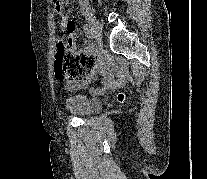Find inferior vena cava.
Instances as JSON below:
<instances>
[{
	"label": "inferior vena cava",
	"mask_w": 207,
	"mask_h": 179,
	"mask_svg": "<svg viewBox=\"0 0 207 179\" xmlns=\"http://www.w3.org/2000/svg\"><path fill=\"white\" fill-rule=\"evenodd\" d=\"M81 2H86L87 0H80Z\"/></svg>",
	"instance_id": "1"
}]
</instances>
